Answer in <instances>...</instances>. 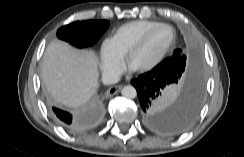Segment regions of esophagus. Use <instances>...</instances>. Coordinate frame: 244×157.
Segmentation results:
<instances>
[{"instance_id": "esophagus-1", "label": "esophagus", "mask_w": 244, "mask_h": 157, "mask_svg": "<svg viewBox=\"0 0 244 157\" xmlns=\"http://www.w3.org/2000/svg\"><path fill=\"white\" fill-rule=\"evenodd\" d=\"M122 87H123L122 85L112 86L107 90L106 95L109 97L113 96L117 94L122 89Z\"/></svg>"}]
</instances>
